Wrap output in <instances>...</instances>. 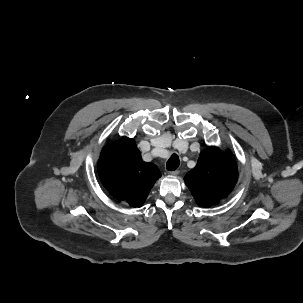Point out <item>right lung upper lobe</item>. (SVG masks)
Masks as SVG:
<instances>
[{"label": "right lung upper lobe", "mask_w": 303, "mask_h": 303, "mask_svg": "<svg viewBox=\"0 0 303 303\" xmlns=\"http://www.w3.org/2000/svg\"><path fill=\"white\" fill-rule=\"evenodd\" d=\"M98 173L105 189L132 207H141L161 176L157 166L144 162L133 139L108 142L98 161Z\"/></svg>", "instance_id": "obj_1"}]
</instances>
